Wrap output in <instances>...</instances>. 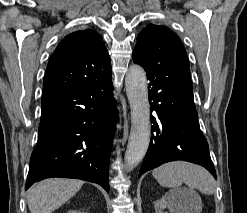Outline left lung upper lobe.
<instances>
[{"label":"left lung upper lobe","mask_w":247,"mask_h":213,"mask_svg":"<svg viewBox=\"0 0 247 213\" xmlns=\"http://www.w3.org/2000/svg\"><path fill=\"white\" fill-rule=\"evenodd\" d=\"M133 61L146 68L184 67L189 60L180 38L166 26L150 24L137 36Z\"/></svg>","instance_id":"obj_1"}]
</instances>
